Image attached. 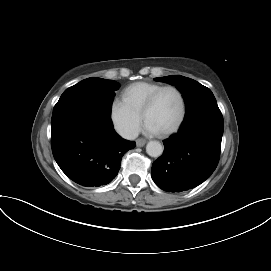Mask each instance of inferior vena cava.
<instances>
[{
  "mask_svg": "<svg viewBox=\"0 0 271 271\" xmlns=\"http://www.w3.org/2000/svg\"><path fill=\"white\" fill-rule=\"evenodd\" d=\"M138 136V131L137 130H131V131H127L125 134H124V137L128 140H134L136 139Z\"/></svg>",
  "mask_w": 271,
  "mask_h": 271,
  "instance_id": "1",
  "label": "inferior vena cava"
}]
</instances>
